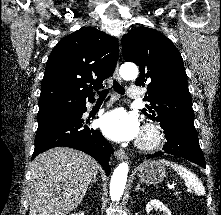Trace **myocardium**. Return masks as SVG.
<instances>
[{"mask_svg":"<svg viewBox=\"0 0 221 215\" xmlns=\"http://www.w3.org/2000/svg\"><path fill=\"white\" fill-rule=\"evenodd\" d=\"M163 139L161 129L153 123L144 125L142 132L137 140V146L144 151H150L157 148Z\"/></svg>","mask_w":221,"mask_h":215,"instance_id":"myocardium-1","label":"myocardium"}]
</instances>
